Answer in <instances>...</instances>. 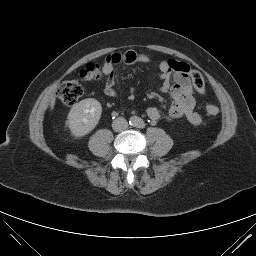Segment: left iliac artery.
<instances>
[{"label": "left iliac artery", "instance_id": "44dca946", "mask_svg": "<svg viewBox=\"0 0 256 256\" xmlns=\"http://www.w3.org/2000/svg\"><path fill=\"white\" fill-rule=\"evenodd\" d=\"M145 127V123L143 121H139L138 122V128H144Z\"/></svg>", "mask_w": 256, "mask_h": 256}]
</instances>
